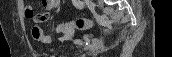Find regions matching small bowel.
I'll list each match as a JSON object with an SVG mask.
<instances>
[{"label":"small bowel","instance_id":"1","mask_svg":"<svg viewBox=\"0 0 172 57\" xmlns=\"http://www.w3.org/2000/svg\"><path fill=\"white\" fill-rule=\"evenodd\" d=\"M42 4H43V6H44V8L46 10L45 12L35 14L33 8L31 6H27L25 8V11H24V16L27 19H33L34 22L36 23V25L31 27L32 37L34 38V35L38 31H41L42 36L39 39H35V40H37L39 42H43V43H50L51 42V37L47 36V35H44L42 29L38 26V24H42V23L46 22L50 18L51 11L53 9L57 8L60 5V1L59 0H42ZM27 8L31 9V11H32L31 15H28L26 13Z\"/></svg>","mask_w":172,"mask_h":57}]
</instances>
